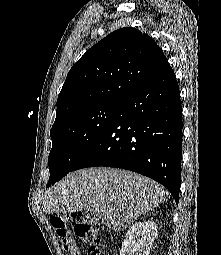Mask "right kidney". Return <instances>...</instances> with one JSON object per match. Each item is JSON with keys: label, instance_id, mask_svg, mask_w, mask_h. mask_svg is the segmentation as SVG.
<instances>
[{"label": "right kidney", "instance_id": "right-kidney-1", "mask_svg": "<svg viewBox=\"0 0 221 255\" xmlns=\"http://www.w3.org/2000/svg\"><path fill=\"white\" fill-rule=\"evenodd\" d=\"M156 236L155 222L149 220L136 222L125 235L120 255H149Z\"/></svg>", "mask_w": 221, "mask_h": 255}]
</instances>
